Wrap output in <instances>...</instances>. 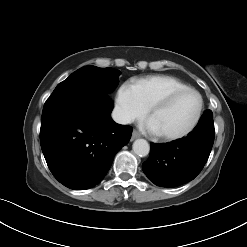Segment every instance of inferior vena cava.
Masks as SVG:
<instances>
[{"label":"inferior vena cava","instance_id":"obj_1","mask_svg":"<svg viewBox=\"0 0 247 247\" xmlns=\"http://www.w3.org/2000/svg\"><path fill=\"white\" fill-rule=\"evenodd\" d=\"M112 118L116 123L119 124H129L132 122L131 116L118 107L114 108L112 112Z\"/></svg>","mask_w":247,"mask_h":247}]
</instances>
